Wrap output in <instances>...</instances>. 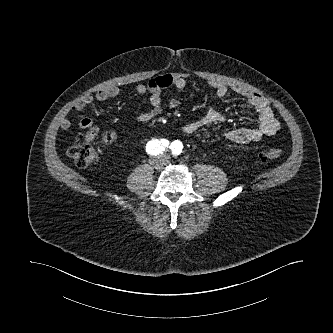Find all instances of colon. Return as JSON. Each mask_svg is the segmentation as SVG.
Segmentation results:
<instances>
[{
    "label": "colon",
    "instance_id": "colon-1",
    "mask_svg": "<svg viewBox=\"0 0 333 333\" xmlns=\"http://www.w3.org/2000/svg\"><path fill=\"white\" fill-rule=\"evenodd\" d=\"M114 140L111 132H99L98 130L86 135L84 140L72 144L68 149V154L73 158L79 167H87L98 160L99 152L96 142L109 144ZM283 151L278 148L268 149L259 154L262 161L278 159L282 156Z\"/></svg>",
    "mask_w": 333,
    "mask_h": 333
}]
</instances>
